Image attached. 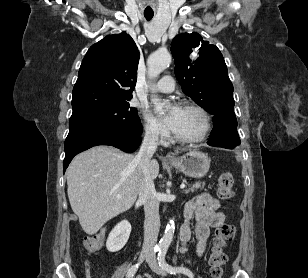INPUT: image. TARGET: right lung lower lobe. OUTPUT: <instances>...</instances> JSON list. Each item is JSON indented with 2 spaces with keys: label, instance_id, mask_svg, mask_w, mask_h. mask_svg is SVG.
I'll return each instance as SVG.
<instances>
[{
  "label": "right lung lower lobe",
  "instance_id": "1",
  "mask_svg": "<svg viewBox=\"0 0 308 278\" xmlns=\"http://www.w3.org/2000/svg\"><path fill=\"white\" fill-rule=\"evenodd\" d=\"M142 132L118 129H80L69 131L65 140V158L63 172L67 169L73 157L93 146L111 145L125 152H134L140 145Z\"/></svg>",
  "mask_w": 308,
  "mask_h": 278
}]
</instances>
